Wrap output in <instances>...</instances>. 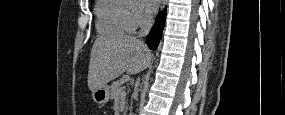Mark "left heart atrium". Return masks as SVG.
<instances>
[{"mask_svg":"<svg viewBox=\"0 0 285 115\" xmlns=\"http://www.w3.org/2000/svg\"><path fill=\"white\" fill-rule=\"evenodd\" d=\"M158 0H143L142 5L148 14H152L158 7Z\"/></svg>","mask_w":285,"mask_h":115,"instance_id":"39dd6f15","label":"left heart atrium"}]
</instances>
